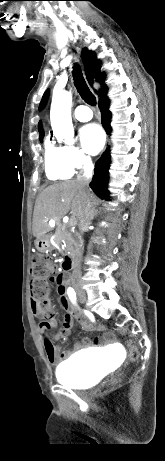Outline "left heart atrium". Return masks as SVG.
I'll use <instances>...</instances> for the list:
<instances>
[{
    "label": "left heart atrium",
    "mask_w": 165,
    "mask_h": 461,
    "mask_svg": "<svg viewBox=\"0 0 165 461\" xmlns=\"http://www.w3.org/2000/svg\"><path fill=\"white\" fill-rule=\"evenodd\" d=\"M80 140L85 151L95 155L103 148L105 135L98 125L88 124L81 129Z\"/></svg>",
    "instance_id": "1"
}]
</instances>
